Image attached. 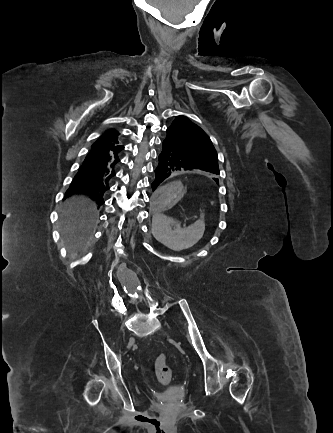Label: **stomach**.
<instances>
[{"label": "stomach", "instance_id": "obj_1", "mask_svg": "<svg viewBox=\"0 0 333 433\" xmlns=\"http://www.w3.org/2000/svg\"><path fill=\"white\" fill-rule=\"evenodd\" d=\"M183 194L184 188L180 182L162 183L156 190V201H151L149 207L153 212L166 215L168 210L174 209L175 204L182 199Z\"/></svg>", "mask_w": 333, "mask_h": 433}]
</instances>
